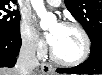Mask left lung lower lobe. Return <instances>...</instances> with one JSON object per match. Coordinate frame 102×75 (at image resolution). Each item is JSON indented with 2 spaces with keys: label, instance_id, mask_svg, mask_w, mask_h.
<instances>
[{
  "label": "left lung lower lobe",
  "instance_id": "left-lung-lower-lobe-1",
  "mask_svg": "<svg viewBox=\"0 0 102 75\" xmlns=\"http://www.w3.org/2000/svg\"><path fill=\"white\" fill-rule=\"evenodd\" d=\"M58 73L102 74V37L91 40V53L82 64L72 68H58Z\"/></svg>",
  "mask_w": 102,
  "mask_h": 75
}]
</instances>
